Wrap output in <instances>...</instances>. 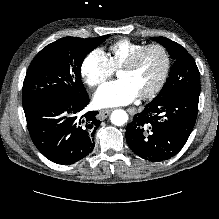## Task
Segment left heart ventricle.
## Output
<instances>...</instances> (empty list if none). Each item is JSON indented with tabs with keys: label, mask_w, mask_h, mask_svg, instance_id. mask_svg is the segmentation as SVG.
Wrapping results in <instances>:
<instances>
[{
	"label": "left heart ventricle",
	"mask_w": 219,
	"mask_h": 219,
	"mask_svg": "<svg viewBox=\"0 0 219 219\" xmlns=\"http://www.w3.org/2000/svg\"><path fill=\"white\" fill-rule=\"evenodd\" d=\"M164 68V57L160 50L151 49L143 54L131 69L119 70V79H125L136 89L138 94L151 89L160 78Z\"/></svg>",
	"instance_id": "left-heart-ventricle-1"
}]
</instances>
